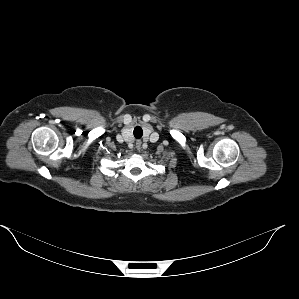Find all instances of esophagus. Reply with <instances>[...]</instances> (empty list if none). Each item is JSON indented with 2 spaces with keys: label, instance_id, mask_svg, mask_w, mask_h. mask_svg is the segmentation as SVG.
<instances>
[{
  "label": "esophagus",
  "instance_id": "34e87169",
  "mask_svg": "<svg viewBox=\"0 0 299 299\" xmlns=\"http://www.w3.org/2000/svg\"><path fill=\"white\" fill-rule=\"evenodd\" d=\"M141 144H142V142H141L140 140H137V141H136V148H137L138 150L141 149Z\"/></svg>",
  "mask_w": 299,
  "mask_h": 299
}]
</instances>
